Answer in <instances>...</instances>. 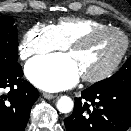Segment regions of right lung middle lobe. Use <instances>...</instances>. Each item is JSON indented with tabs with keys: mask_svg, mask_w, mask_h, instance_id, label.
I'll return each mask as SVG.
<instances>
[{
	"mask_svg": "<svg viewBox=\"0 0 131 131\" xmlns=\"http://www.w3.org/2000/svg\"><path fill=\"white\" fill-rule=\"evenodd\" d=\"M17 50V27L14 20L0 16V71H10L19 65Z\"/></svg>",
	"mask_w": 131,
	"mask_h": 131,
	"instance_id": "dd1d6c3e",
	"label": "right lung middle lobe"
}]
</instances>
